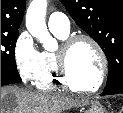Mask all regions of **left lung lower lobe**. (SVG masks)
<instances>
[{
	"label": "left lung lower lobe",
	"instance_id": "0a47b994",
	"mask_svg": "<svg viewBox=\"0 0 123 113\" xmlns=\"http://www.w3.org/2000/svg\"><path fill=\"white\" fill-rule=\"evenodd\" d=\"M104 95H112V94H107V93H104V92H103V93H102V96H104Z\"/></svg>",
	"mask_w": 123,
	"mask_h": 113
}]
</instances>
